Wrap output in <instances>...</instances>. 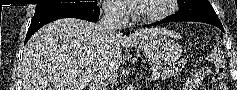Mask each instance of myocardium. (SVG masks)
I'll return each mask as SVG.
<instances>
[{
    "label": "myocardium",
    "mask_w": 237,
    "mask_h": 90,
    "mask_svg": "<svg viewBox=\"0 0 237 90\" xmlns=\"http://www.w3.org/2000/svg\"><path fill=\"white\" fill-rule=\"evenodd\" d=\"M159 3H164V7L160 12L156 14H145L139 8H137L135 3L129 5V10L131 16L135 22H145V23H156L169 15L174 11V4L178 3V0H157Z\"/></svg>",
    "instance_id": "f54148a6"
}]
</instances>
